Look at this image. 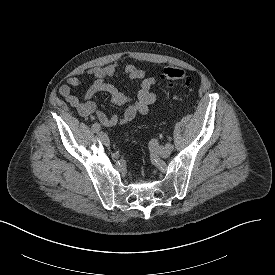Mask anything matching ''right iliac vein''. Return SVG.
<instances>
[{
    "label": "right iliac vein",
    "instance_id": "1",
    "mask_svg": "<svg viewBox=\"0 0 275 275\" xmlns=\"http://www.w3.org/2000/svg\"><path fill=\"white\" fill-rule=\"evenodd\" d=\"M100 141L105 145V146H109L110 145V140L108 138V136L106 135V133L104 132H99L98 134Z\"/></svg>",
    "mask_w": 275,
    "mask_h": 275
}]
</instances>
